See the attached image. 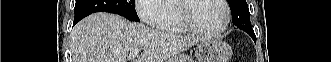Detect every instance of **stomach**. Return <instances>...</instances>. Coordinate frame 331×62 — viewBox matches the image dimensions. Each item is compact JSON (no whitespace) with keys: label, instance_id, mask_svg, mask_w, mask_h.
I'll return each instance as SVG.
<instances>
[{"label":"stomach","instance_id":"0dacf381","mask_svg":"<svg viewBox=\"0 0 331 62\" xmlns=\"http://www.w3.org/2000/svg\"><path fill=\"white\" fill-rule=\"evenodd\" d=\"M231 55V47L215 38L202 40L196 50L198 62H228Z\"/></svg>","mask_w":331,"mask_h":62}]
</instances>
